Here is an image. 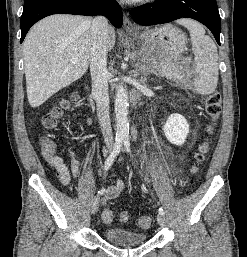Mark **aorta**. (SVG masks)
<instances>
[{
    "label": "aorta",
    "mask_w": 247,
    "mask_h": 257,
    "mask_svg": "<svg viewBox=\"0 0 247 257\" xmlns=\"http://www.w3.org/2000/svg\"><path fill=\"white\" fill-rule=\"evenodd\" d=\"M116 139L126 140L129 137L128 122V92L122 83H119L115 96Z\"/></svg>",
    "instance_id": "obj_1"
}]
</instances>
